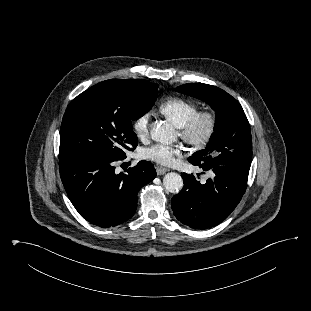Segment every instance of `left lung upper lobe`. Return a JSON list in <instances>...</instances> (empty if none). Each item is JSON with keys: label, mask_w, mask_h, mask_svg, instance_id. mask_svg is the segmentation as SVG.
I'll use <instances>...</instances> for the list:
<instances>
[{"label": "left lung upper lobe", "mask_w": 311, "mask_h": 311, "mask_svg": "<svg viewBox=\"0 0 311 311\" xmlns=\"http://www.w3.org/2000/svg\"><path fill=\"white\" fill-rule=\"evenodd\" d=\"M215 109L214 132L206 149L197 151L188 161L200 167L237 166L250 169L252 141L248 119L239 102L224 90L203 83H190L176 88Z\"/></svg>", "instance_id": "1"}]
</instances>
